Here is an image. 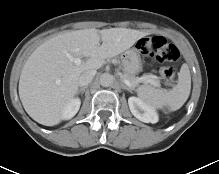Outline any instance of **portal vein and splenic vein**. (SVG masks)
<instances>
[{
	"label": "portal vein and splenic vein",
	"instance_id": "portal-vein-and-splenic-vein-1",
	"mask_svg": "<svg viewBox=\"0 0 219 174\" xmlns=\"http://www.w3.org/2000/svg\"><path fill=\"white\" fill-rule=\"evenodd\" d=\"M66 56L69 58L70 61H73V62H75L76 64H80V63H81V58H80V57H73V56H72L71 54H69V53H67ZM139 80L145 81L146 83H151V84H154V85H155V83H154L151 79H148L147 76L141 77V78H139ZM125 84L131 85V83H130L128 80H125Z\"/></svg>",
	"mask_w": 219,
	"mask_h": 174
}]
</instances>
